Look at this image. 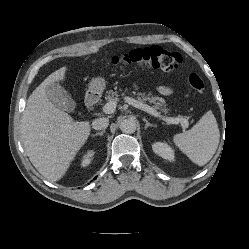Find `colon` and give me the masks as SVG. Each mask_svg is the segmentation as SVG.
<instances>
[{
	"instance_id": "obj_1",
	"label": "colon",
	"mask_w": 249,
	"mask_h": 249,
	"mask_svg": "<svg viewBox=\"0 0 249 249\" xmlns=\"http://www.w3.org/2000/svg\"><path fill=\"white\" fill-rule=\"evenodd\" d=\"M111 63L114 66L152 68L174 72L181 63V57L177 52L159 46H151L137 48L127 53L113 56ZM187 82L196 91H201L204 88L203 80L196 73H190L187 77Z\"/></svg>"
}]
</instances>
